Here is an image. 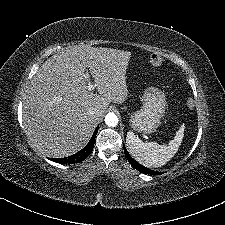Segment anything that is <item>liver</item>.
Segmentation results:
<instances>
[{
  "label": "liver",
  "mask_w": 225,
  "mask_h": 225,
  "mask_svg": "<svg viewBox=\"0 0 225 225\" xmlns=\"http://www.w3.org/2000/svg\"><path fill=\"white\" fill-rule=\"evenodd\" d=\"M130 57L129 51L72 46L47 59L32 78L23 104L33 148L50 157L69 156L83 148L110 103L127 99ZM88 69L98 94L87 89Z\"/></svg>",
  "instance_id": "liver-1"
}]
</instances>
